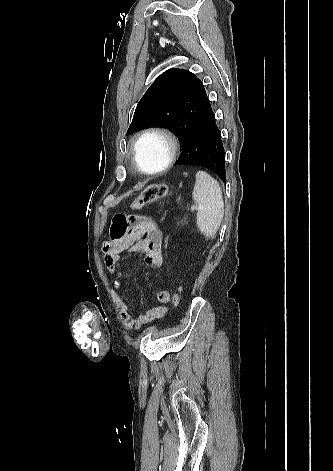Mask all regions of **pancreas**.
Listing matches in <instances>:
<instances>
[{
	"mask_svg": "<svg viewBox=\"0 0 333 471\" xmlns=\"http://www.w3.org/2000/svg\"><path fill=\"white\" fill-rule=\"evenodd\" d=\"M180 222H181V223H187V219L184 218V219H182Z\"/></svg>",
	"mask_w": 333,
	"mask_h": 471,
	"instance_id": "obj_1",
	"label": "pancreas"
}]
</instances>
